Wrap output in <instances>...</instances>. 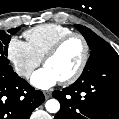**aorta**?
Returning a JSON list of instances; mask_svg holds the SVG:
<instances>
[{
    "label": "aorta",
    "mask_w": 119,
    "mask_h": 119,
    "mask_svg": "<svg viewBox=\"0 0 119 119\" xmlns=\"http://www.w3.org/2000/svg\"><path fill=\"white\" fill-rule=\"evenodd\" d=\"M45 107L49 113H57L60 109V103L56 99H50L46 102Z\"/></svg>",
    "instance_id": "1"
}]
</instances>
